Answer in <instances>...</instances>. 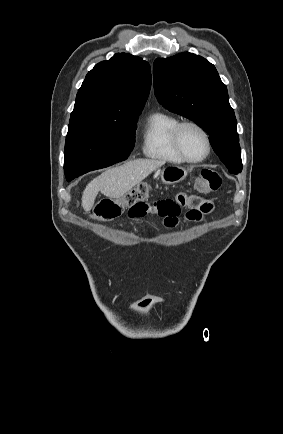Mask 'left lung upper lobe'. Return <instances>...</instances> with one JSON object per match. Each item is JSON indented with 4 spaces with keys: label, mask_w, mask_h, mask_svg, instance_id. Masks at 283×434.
Listing matches in <instances>:
<instances>
[{
    "label": "left lung upper lobe",
    "mask_w": 283,
    "mask_h": 434,
    "mask_svg": "<svg viewBox=\"0 0 283 434\" xmlns=\"http://www.w3.org/2000/svg\"><path fill=\"white\" fill-rule=\"evenodd\" d=\"M153 75L158 102L200 125L210 135L212 148L229 172L240 173L237 121L227 87L214 65L199 55L183 52L156 59Z\"/></svg>",
    "instance_id": "5c2ea615"
}]
</instances>
